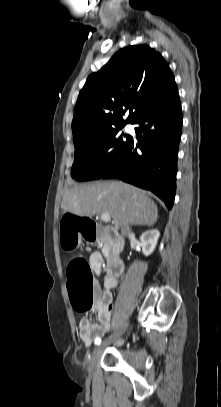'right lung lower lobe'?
I'll use <instances>...</instances> for the list:
<instances>
[{
  "instance_id": "98d812e1",
  "label": "right lung lower lobe",
  "mask_w": 221,
  "mask_h": 407,
  "mask_svg": "<svg viewBox=\"0 0 221 407\" xmlns=\"http://www.w3.org/2000/svg\"><path fill=\"white\" fill-rule=\"evenodd\" d=\"M182 111L177 87L159 103L143 112L133 124L141 135L133 138L118 163L101 178H114L147 189L171 209L176 190L178 147L181 138ZM136 148L141 150L137 153Z\"/></svg>"
}]
</instances>
